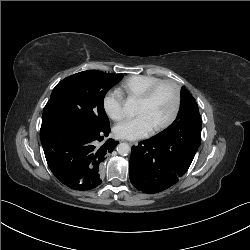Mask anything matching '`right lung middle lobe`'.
Returning a JSON list of instances; mask_svg holds the SVG:
<instances>
[{
    "label": "right lung middle lobe",
    "instance_id": "right-lung-middle-lobe-1",
    "mask_svg": "<svg viewBox=\"0 0 250 250\" xmlns=\"http://www.w3.org/2000/svg\"><path fill=\"white\" fill-rule=\"evenodd\" d=\"M123 74L97 70L76 73L60 81L43 109L41 129L68 124L90 129L109 126L103 106L107 91Z\"/></svg>",
    "mask_w": 250,
    "mask_h": 250
}]
</instances>
